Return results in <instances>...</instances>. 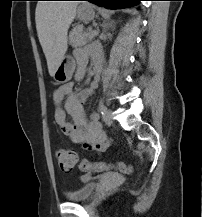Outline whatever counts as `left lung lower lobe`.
Wrapping results in <instances>:
<instances>
[{
  "label": "left lung lower lobe",
  "mask_w": 202,
  "mask_h": 217,
  "mask_svg": "<svg viewBox=\"0 0 202 217\" xmlns=\"http://www.w3.org/2000/svg\"><path fill=\"white\" fill-rule=\"evenodd\" d=\"M108 9H120L134 6L142 0H84Z\"/></svg>",
  "instance_id": "left-lung-lower-lobe-1"
}]
</instances>
